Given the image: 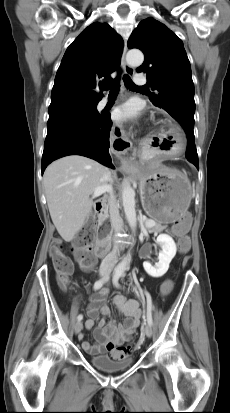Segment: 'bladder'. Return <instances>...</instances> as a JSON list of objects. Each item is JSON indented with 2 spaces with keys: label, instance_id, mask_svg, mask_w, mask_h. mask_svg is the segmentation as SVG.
<instances>
[{
  "label": "bladder",
  "instance_id": "31cf9c89",
  "mask_svg": "<svg viewBox=\"0 0 230 413\" xmlns=\"http://www.w3.org/2000/svg\"><path fill=\"white\" fill-rule=\"evenodd\" d=\"M90 363L97 369L104 372H118L130 368L134 360L131 357L114 360L107 355L92 356Z\"/></svg>",
  "mask_w": 230,
  "mask_h": 413
}]
</instances>
